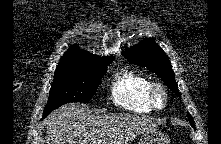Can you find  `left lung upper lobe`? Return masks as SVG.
<instances>
[{
    "mask_svg": "<svg viewBox=\"0 0 221 144\" xmlns=\"http://www.w3.org/2000/svg\"><path fill=\"white\" fill-rule=\"evenodd\" d=\"M122 54L129 62L149 68L162 79L172 92L181 97L169 59L154 40L145 39L139 44L123 51ZM189 121L195 127L190 115Z\"/></svg>",
    "mask_w": 221,
    "mask_h": 144,
    "instance_id": "left-lung-upper-lobe-1",
    "label": "left lung upper lobe"
}]
</instances>
